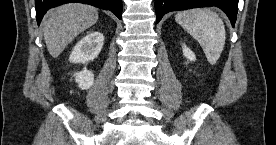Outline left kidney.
<instances>
[{"instance_id":"left-kidney-1","label":"left kidney","mask_w":276,"mask_h":145,"mask_svg":"<svg viewBox=\"0 0 276 145\" xmlns=\"http://www.w3.org/2000/svg\"><path fill=\"white\" fill-rule=\"evenodd\" d=\"M182 51H183L184 57H186L189 61L196 60L195 54L186 45L182 46Z\"/></svg>"}]
</instances>
